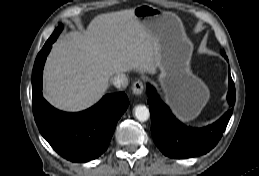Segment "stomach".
Returning <instances> with one entry per match:
<instances>
[{"label": "stomach", "instance_id": "1", "mask_svg": "<svg viewBox=\"0 0 259 176\" xmlns=\"http://www.w3.org/2000/svg\"><path fill=\"white\" fill-rule=\"evenodd\" d=\"M133 10L158 46L159 83L166 101L181 120L195 119L209 99V90L190 71L193 47L180 20L152 5H139Z\"/></svg>", "mask_w": 259, "mask_h": 176}]
</instances>
